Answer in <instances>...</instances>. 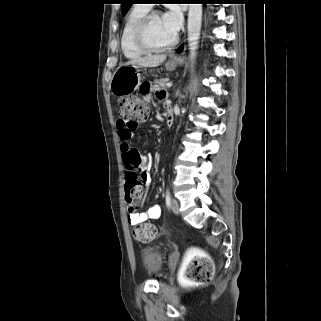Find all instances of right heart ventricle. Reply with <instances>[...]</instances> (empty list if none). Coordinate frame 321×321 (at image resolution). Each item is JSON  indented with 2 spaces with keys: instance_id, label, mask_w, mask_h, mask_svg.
<instances>
[{
  "instance_id": "1",
  "label": "right heart ventricle",
  "mask_w": 321,
  "mask_h": 321,
  "mask_svg": "<svg viewBox=\"0 0 321 321\" xmlns=\"http://www.w3.org/2000/svg\"><path fill=\"white\" fill-rule=\"evenodd\" d=\"M149 11L144 5L134 6L125 18L120 36V46L123 55L127 59H137L145 54L136 47L133 41V32L140 18Z\"/></svg>"
}]
</instances>
